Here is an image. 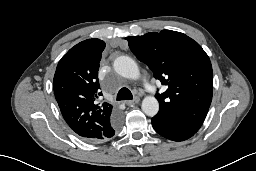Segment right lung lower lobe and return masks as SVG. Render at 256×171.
Masks as SVG:
<instances>
[{
    "instance_id": "1",
    "label": "right lung lower lobe",
    "mask_w": 256,
    "mask_h": 171,
    "mask_svg": "<svg viewBox=\"0 0 256 171\" xmlns=\"http://www.w3.org/2000/svg\"><path fill=\"white\" fill-rule=\"evenodd\" d=\"M120 123H121V118L119 115H116L112 121H111V130H112V136L115 134V130H117L120 126Z\"/></svg>"
}]
</instances>
